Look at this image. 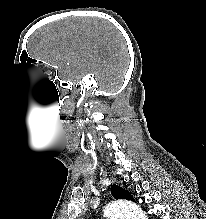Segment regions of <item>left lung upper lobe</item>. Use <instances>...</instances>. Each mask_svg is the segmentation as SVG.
I'll use <instances>...</instances> for the list:
<instances>
[{
    "instance_id": "left-lung-upper-lobe-1",
    "label": "left lung upper lobe",
    "mask_w": 206,
    "mask_h": 219,
    "mask_svg": "<svg viewBox=\"0 0 206 219\" xmlns=\"http://www.w3.org/2000/svg\"><path fill=\"white\" fill-rule=\"evenodd\" d=\"M111 193L115 199H127L134 201L133 196L127 190L117 185L111 186Z\"/></svg>"
}]
</instances>
